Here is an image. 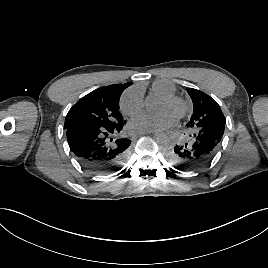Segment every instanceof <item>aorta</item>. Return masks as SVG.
<instances>
[{"instance_id":"762f6f07","label":"aorta","mask_w":268,"mask_h":268,"mask_svg":"<svg viewBox=\"0 0 268 268\" xmlns=\"http://www.w3.org/2000/svg\"><path fill=\"white\" fill-rule=\"evenodd\" d=\"M153 138H154V140H155L156 142H158V143H162V142H164V141L166 140L167 135H166V133H165L164 131H162V130H158V131H156V132L154 133Z\"/></svg>"}]
</instances>
